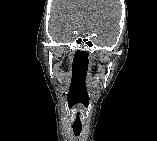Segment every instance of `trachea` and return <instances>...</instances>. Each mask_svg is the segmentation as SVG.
Here are the masks:
<instances>
[{
    "label": "trachea",
    "instance_id": "obj_1",
    "mask_svg": "<svg viewBox=\"0 0 157 141\" xmlns=\"http://www.w3.org/2000/svg\"><path fill=\"white\" fill-rule=\"evenodd\" d=\"M82 130V126H73V132L75 136H79Z\"/></svg>",
    "mask_w": 157,
    "mask_h": 141
}]
</instances>
